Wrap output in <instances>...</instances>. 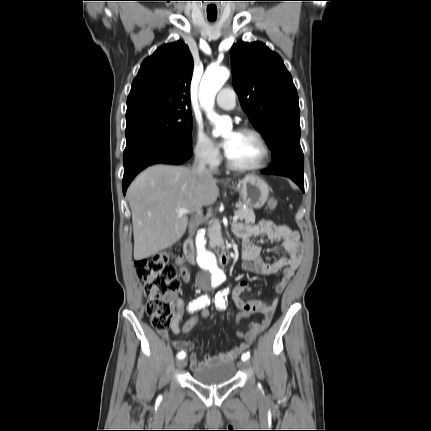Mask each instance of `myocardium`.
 I'll list each match as a JSON object with an SVG mask.
<instances>
[{
	"mask_svg": "<svg viewBox=\"0 0 431 431\" xmlns=\"http://www.w3.org/2000/svg\"><path fill=\"white\" fill-rule=\"evenodd\" d=\"M238 132L243 133V134H249V135H252L256 138V140L258 141L259 145L262 148V157L255 164L239 165V164L232 162L226 153L225 154V161H226L227 167L230 168L231 170H234V171L250 172V171L260 170V169L264 168L265 166H267V164L269 163L270 158H271V150H270V147H269L267 141L263 137V135L258 130L251 128V127H242L238 130Z\"/></svg>",
	"mask_w": 431,
	"mask_h": 431,
	"instance_id": "f54148a6",
	"label": "myocardium"
}]
</instances>
